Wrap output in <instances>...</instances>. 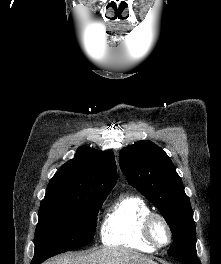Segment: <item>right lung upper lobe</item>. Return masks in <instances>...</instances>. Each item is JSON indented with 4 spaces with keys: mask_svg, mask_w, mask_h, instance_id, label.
I'll use <instances>...</instances> for the list:
<instances>
[{
    "mask_svg": "<svg viewBox=\"0 0 221 264\" xmlns=\"http://www.w3.org/2000/svg\"><path fill=\"white\" fill-rule=\"evenodd\" d=\"M117 181L112 151L80 147L75 158L65 163L50 180L45 198L75 200L109 194Z\"/></svg>",
    "mask_w": 221,
    "mask_h": 264,
    "instance_id": "obj_1",
    "label": "right lung upper lobe"
}]
</instances>
